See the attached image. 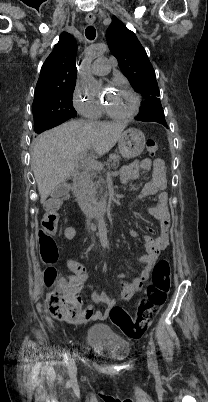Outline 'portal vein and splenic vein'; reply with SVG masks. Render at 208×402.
I'll use <instances>...</instances> for the list:
<instances>
[{
	"mask_svg": "<svg viewBox=\"0 0 208 402\" xmlns=\"http://www.w3.org/2000/svg\"><path fill=\"white\" fill-rule=\"evenodd\" d=\"M87 150L86 152H83V154H80L79 160L83 166H88L89 170H102V166H104V163L97 162V160H91V157L86 158ZM115 160H111L110 163H107V166L114 167L115 165L119 164V156L115 155L114 156Z\"/></svg>",
	"mask_w": 208,
	"mask_h": 402,
	"instance_id": "obj_1",
	"label": "portal vein and splenic vein"
}]
</instances>
